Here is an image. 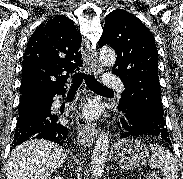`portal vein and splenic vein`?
Masks as SVG:
<instances>
[{
    "instance_id": "1",
    "label": "portal vein and splenic vein",
    "mask_w": 183,
    "mask_h": 179,
    "mask_svg": "<svg viewBox=\"0 0 183 179\" xmlns=\"http://www.w3.org/2000/svg\"><path fill=\"white\" fill-rule=\"evenodd\" d=\"M148 175H149V176H154V175H156V173H155V172H150ZM146 179H147V178H146Z\"/></svg>"
}]
</instances>
